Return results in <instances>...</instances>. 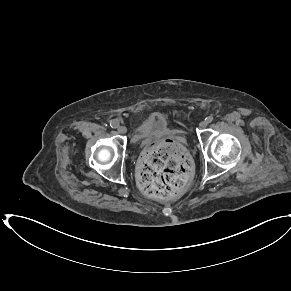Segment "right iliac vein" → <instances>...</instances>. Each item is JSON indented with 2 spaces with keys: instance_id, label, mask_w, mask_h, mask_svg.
Returning a JSON list of instances; mask_svg holds the SVG:
<instances>
[{
  "instance_id": "1",
  "label": "right iliac vein",
  "mask_w": 291,
  "mask_h": 291,
  "mask_svg": "<svg viewBox=\"0 0 291 291\" xmlns=\"http://www.w3.org/2000/svg\"><path fill=\"white\" fill-rule=\"evenodd\" d=\"M117 131L119 134H125L127 132V128L125 126H119Z\"/></svg>"
}]
</instances>
